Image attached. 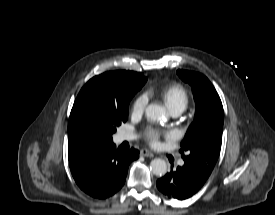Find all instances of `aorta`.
I'll return each instance as SVG.
<instances>
[{
  "label": "aorta",
  "mask_w": 275,
  "mask_h": 215,
  "mask_svg": "<svg viewBox=\"0 0 275 215\" xmlns=\"http://www.w3.org/2000/svg\"><path fill=\"white\" fill-rule=\"evenodd\" d=\"M145 114L154 122L166 120L168 117L165 108L157 104L148 105ZM150 171L156 176H164L167 172V163L163 159L156 158L150 163Z\"/></svg>",
  "instance_id": "1"
}]
</instances>
